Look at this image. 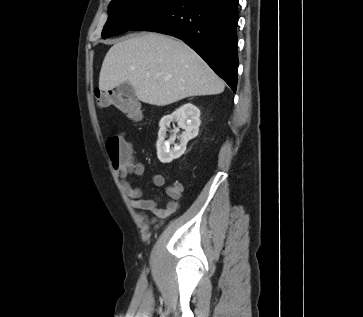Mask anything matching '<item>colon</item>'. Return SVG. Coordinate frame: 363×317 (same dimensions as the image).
I'll use <instances>...</instances> for the list:
<instances>
[{
	"label": "colon",
	"mask_w": 363,
	"mask_h": 317,
	"mask_svg": "<svg viewBox=\"0 0 363 317\" xmlns=\"http://www.w3.org/2000/svg\"><path fill=\"white\" fill-rule=\"evenodd\" d=\"M94 97L101 107H114L131 120H139L142 110L139 103L131 98L112 90H96ZM106 151L115 166L131 162V146L119 134L110 136L105 143Z\"/></svg>",
	"instance_id": "5ec220e1"
}]
</instances>
